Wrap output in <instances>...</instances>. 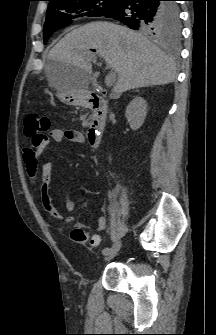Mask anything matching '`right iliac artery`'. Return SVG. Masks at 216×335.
Listing matches in <instances>:
<instances>
[{
	"mask_svg": "<svg viewBox=\"0 0 216 335\" xmlns=\"http://www.w3.org/2000/svg\"><path fill=\"white\" fill-rule=\"evenodd\" d=\"M110 249H111V248L106 247V248H104V249L102 250V253H103L104 255H106V254L110 251Z\"/></svg>",
	"mask_w": 216,
	"mask_h": 335,
	"instance_id": "82829eb1",
	"label": "right iliac artery"
}]
</instances>
